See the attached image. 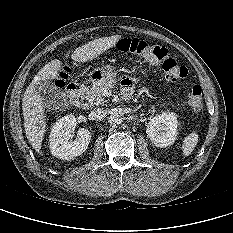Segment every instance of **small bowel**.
Here are the masks:
<instances>
[{"mask_svg":"<svg viewBox=\"0 0 233 233\" xmlns=\"http://www.w3.org/2000/svg\"><path fill=\"white\" fill-rule=\"evenodd\" d=\"M129 85H130V80L129 79H124L123 80V86H124V92L125 93L129 92Z\"/></svg>","mask_w":233,"mask_h":233,"instance_id":"1","label":"small bowel"}]
</instances>
